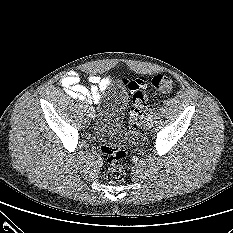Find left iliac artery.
<instances>
[{"mask_svg": "<svg viewBox=\"0 0 233 233\" xmlns=\"http://www.w3.org/2000/svg\"><path fill=\"white\" fill-rule=\"evenodd\" d=\"M156 113V109L154 108V109H151V111H150V114L151 115H154Z\"/></svg>", "mask_w": 233, "mask_h": 233, "instance_id": "1", "label": "left iliac artery"}]
</instances>
